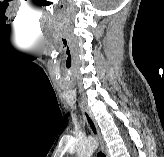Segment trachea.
<instances>
[{
    "instance_id": "3493384b",
    "label": "trachea",
    "mask_w": 164,
    "mask_h": 157,
    "mask_svg": "<svg viewBox=\"0 0 164 157\" xmlns=\"http://www.w3.org/2000/svg\"><path fill=\"white\" fill-rule=\"evenodd\" d=\"M97 157H105V155L102 152H99Z\"/></svg>"
}]
</instances>
